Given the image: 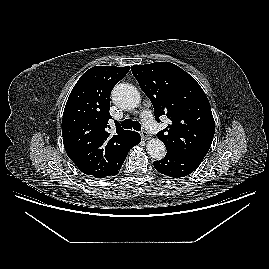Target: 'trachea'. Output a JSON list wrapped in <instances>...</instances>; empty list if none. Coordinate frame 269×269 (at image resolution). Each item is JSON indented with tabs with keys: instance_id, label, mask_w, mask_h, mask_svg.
Listing matches in <instances>:
<instances>
[{
	"instance_id": "trachea-1",
	"label": "trachea",
	"mask_w": 269,
	"mask_h": 269,
	"mask_svg": "<svg viewBox=\"0 0 269 269\" xmlns=\"http://www.w3.org/2000/svg\"><path fill=\"white\" fill-rule=\"evenodd\" d=\"M121 126L124 129H134L136 131H140L141 130V124L138 121H132L131 119H125Z\"/></svg>"
}]
</instances>
